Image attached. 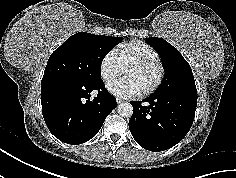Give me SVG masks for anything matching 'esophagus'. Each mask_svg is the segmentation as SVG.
<instances>
[{
  "instance_id": "esophagus-1",
  "label": "esophagus",
  "mask_w": 236,
  "mask_h": 178,
  "mask_svg": "<svg viewBox=\"0 0 236 178\" xmlns=\"http://www.w3.org/2000/svg\"><path fill=\"white\" fill-rule=\"evenodd\" d=\"M116 102H117L118 104H120L121 102H123V100L120 99V98H117V99H116Z\"/></svg>"
}]
</instances>
